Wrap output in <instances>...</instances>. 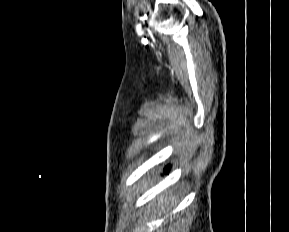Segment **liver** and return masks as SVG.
Segmentation results:
<instances>
[{
  "mask_svg": "<svg viewBox=\"0 0 289 232\" xmlns=\"http://www.w3.org/2000/svg\"><path fill=\"white\" fill-rule=\"evenodd\" d=\"M161 204L158 206V211H161L162 213H167L170 210V202L172 205H175L177 203V200L175 196L171 195L169 198L163 194L160 197Z\"/></svg>",
  "mask_w": 289,
  "mask_h": 232,
  "instance_id": "liver-1",
  "label": "liver"
}]
</instances>
